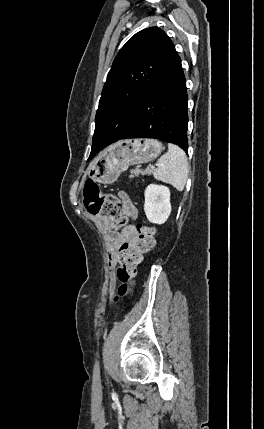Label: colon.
I'll list each match as a JSON object with an SVG mask.
<instances>
[{
	"label": "colon",
	"mask_w": 264,
	"mask_h": 429,
	"mask_svg": "<svg viewBox=\"0 0 264 429\" xmlns=\"http://www.w3.org/2000/svg\"><path fill=\"white\" fill-rule=\"evenodd\" d=\"M84 205L93 215L106 218L112 229L118 230L126 223V217L116 196L103 192L94 182H86L83 188ZM139 237L132 246L122 247L118 253L116 276L119 281L115 299L128 295L135 284L138 265L142 255L149 252L155 244L152 228L138 225Z\"/></svg>",
	"instance_id": "obj_1"
}]
</instances>
